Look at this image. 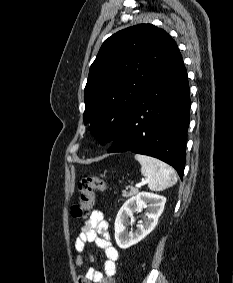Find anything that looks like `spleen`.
<instances>
[{
  "label": "spleen",
  "instance_id": "3e777b00",
  "mask_svg": "<svg viewBox=\"0 0 233 283\" xmlns=\"http://www.w3.org/2000/svg\"><path fill=\"white\" fill-rule=\"evenodd\" d=\"M135 159L141 164V174L148 179L150 190L162 191L176 184V173L168 164L142 154H136Z\"/></svg>",
  "mask_w": 233,
  "mask_h": 283
}]
</instances>
